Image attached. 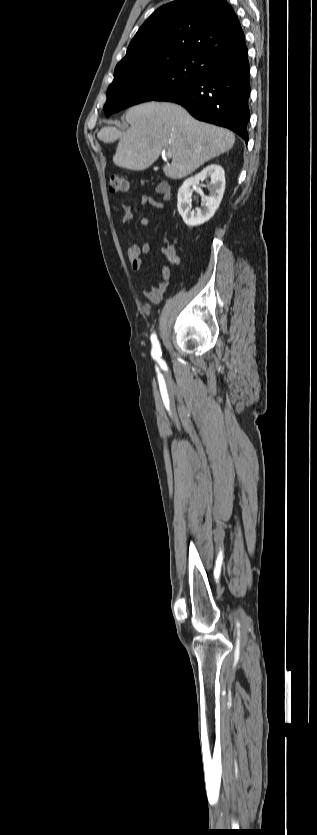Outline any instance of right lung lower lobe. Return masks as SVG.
<instances>
[{"mask_svg": "<svg viewBox=\"0 0 317 835\" xmlns=\"http://www.w3.org/2000/svg\"><path fill=\"white\" fill-rule=\"evenodd\" d=\"M199 77L158 97L198 120L226 127L248 142L250 68L244 33L200 57Z\"/></svg>", "mask_w": 317, "mask_h": 835, "instance_id": "98d812e1", "label": "right lung lower lobe"}]
</instances>
